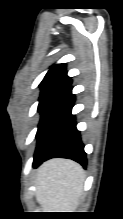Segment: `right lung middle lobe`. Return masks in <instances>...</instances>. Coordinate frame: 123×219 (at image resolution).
<instances>
[{
    "label": "right lung middle lobe",
    "instance_id": "dd1d6c3e",
    "mask_svg": "<svg viewBox=\"0 0 123 219\" xmlns=\"http://www.w3.org/2000/svg\"><path fill=\"white\" fill-rule=\"evenodd\" d=\"M70 82H54L46 84L41 87V94L39 98L38 111L41 112V120L38 127L36 137H39L43 122L56 102L63 96L70 86Z\"/></svg>",
    "mask_w": 123,
    "mask_h": 219
}]
</instances>
